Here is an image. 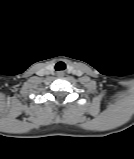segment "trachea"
<instances>
[{"label": "trachea", "mask_w": 134, "mask_h": 159, "mask_svg": "<svg viewBox=\"0 0 134 159\" xmlns=\"http://www.w3.org/2000/svg\"><path fill=\"white\" fill-rule=\"evenodd\" d=\"M65 68H66V65L62 61L57 62L56 65H55V70L56 71H61V70H64Z\"/></svg>", "instance_id": "obj_1"}]
</instances>
